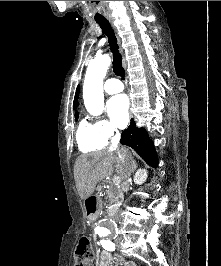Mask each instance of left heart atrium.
Segmentation results:
<instances>
[{"mask_svg": "<svg viewBox=\"0 0 221 266\" xmlns=\"http://www.w3.org/2000/svg\"><path fill=\"white\" fill-rule=\"evenodd\" d=\"M129 102L124 94L109 99L107 111L114 125L123 128L128 122Z\"/></svg>", "mask_w": 221, "mask_h": 266, "instance_id": "1", "label": "left heart atrium"}]
</instances>
